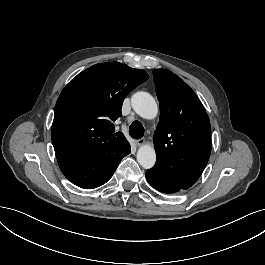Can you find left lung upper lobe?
I'll list each match as a JSON object with an SVG mask.
<instances>
[{
  "instance_id": "5c2ea615",
  "label": "left lung upper lobe",
  "mask_w": 265,
  "mask_h": 265,
  "mask_svg": "<svg viewBox=\"0 0 265 265\" xmlns=\"http://www.w3.org/2000/svg\"><path fill=\"white\" fill-rule=\"evenodd\" d=\"M160 104L154 133L157 161L150 170L189 189L201 176L211 153V126L194 91L165 69L153 71Z\"/></svg>"
}]
</instances>
